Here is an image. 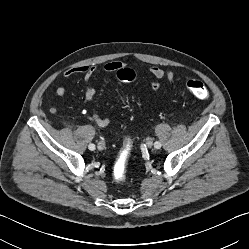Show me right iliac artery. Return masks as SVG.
<instances>
[{"mask_svg": "<svg viewBox=\"0 0 249 249\" xmlns=\"http://www.w3.org/2000/svg\"><path fill=\"white\" fill-rule=\"evenodd\" d=\"M88 147H89L90 150H95V145L94 144H89Z\"/></svg>", "mask_w": 249, "mask_h": 249, "instance_id": "82829eb1", "label": "right iliac artery"}]
</instances>
